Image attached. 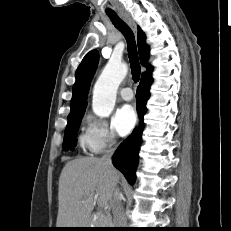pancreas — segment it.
<instances>
[{
    "label": "pancreas",
    "mask_w": 231,
    "mask_h": 231,
    "mask_svg": "<svg viewBox=\"0 0 231 231\" xmlns=\"http://www.w3.org/2000/svg\"><path fill=\"white\" fill-rule=\"evenodd\" d=\"M110 223V217L107 213H98L96 224L99 226H106Z\"/></svg>",
    "instance_id": "obj_1"
}]
</instances>
